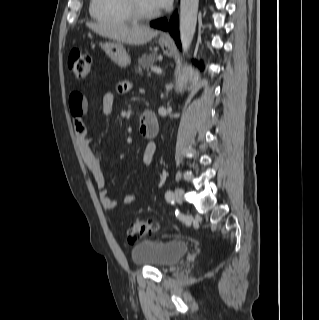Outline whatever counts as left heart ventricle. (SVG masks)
Returning a JSON list of instances; mask_svg holds the SVG:
<instances>
[{
    "label": "left heart ventricle",
    "instance_id": "left-heart-ventricle-1",
    "mask_svg": "<svg viewBox=\"0 0 319 320\" xmlns=\"http://www.w3.org/2000/svg\"><path fill=\"white\" fill-rule=\"evenodd\" d=\"M140 8L145 12H152L157 10L150 0H137Z\"/></svg>",
    "mask_w": 319,
    "mask_h": 320
}]
</instances>
